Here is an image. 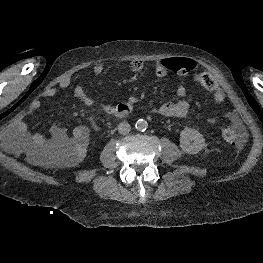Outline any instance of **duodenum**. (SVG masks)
<instances>
[{
	"mask_svg": "<svg viewBox=\"0 0 263 263\" xmlns=\"http://www.w3.org/2000/svg\"><path fill=\"white\" fill-rule=\"evenodd\" d=\"M132 112V106L129 104H120L112 112L116 118H124Z\"/></svg>",
	"mask_w": 263,
	"mask_h": 263,
	"instance_id": "410a0bca",
	"label": "duodenum"
}]
</instances>
